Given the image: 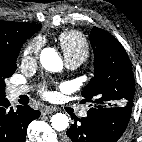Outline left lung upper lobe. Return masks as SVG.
<instances>
[{
  "instance_id": "5c2ea615",
  "label": "left lung upper lobe",
  "mask_w": 142,
  "mask_h": 142,
  "mask_svg": "<svg viewBox=\"0 0 142 142\" xmlns=\"http://www.w3.org/2000/svg\"><path fill=\"white\" fill-rule=\"evenodd\" d=\"M94 77L82 91L95 107L133 106L135 81L131 62L121 43L108 32L94 27L90 33Z\"/></svg>"
}]
</instances>
